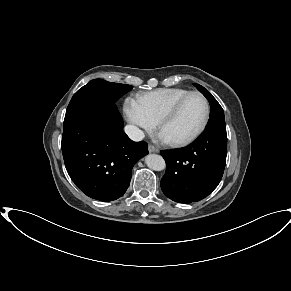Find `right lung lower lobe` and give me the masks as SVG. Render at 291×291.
Here are the masks:
<instances>
[{
	"label": "right lung lower lobe",
	"instance_id": "98d812e1",
	"mask_svg": "<svg viewBox=\"0 0 291 291\" xmlns=\"http://www.w3.org/2000/svg\"><path fill=\"white\" fill-rule=\"evenodd\" d=\"M123 126L115 104L83 120L64 121L62 153L67 172L93 199L121 197L130 184L133 165L148 154L147 143L130 140Z\"/></svg>",
	"mask_w": 291,
	"mask_h": 291
}]
</instances>
